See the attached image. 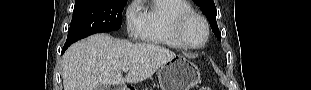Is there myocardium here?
Here are the masks:
<instances>
[{
  "label": "myocardium",
  "mask_w": 311,
  "mask_h": 90,
  "mask_svg": "<svg viewBox=\"0 0 311 90\" xmlns=\"http://www.w3.org/2000/svg\"><path fill=\"white\" fill-rule=\"evenodd\" d=\"M194 19L201 21L205 29L204 39L199 44H193L192 42L188 40V38L185 35L186 26L188 25L189 22H191ZM174 33H175L176 38L178 39V41L184 48L200 49L204 47L209 40L210 28H209L208 21L206 20L204 16H202L201 14L197 12L192 11V12L181 14L177 17L175 21V25H174Z\"/></svg>",
  "instance_id": "obj_1"
}]
</instances>
